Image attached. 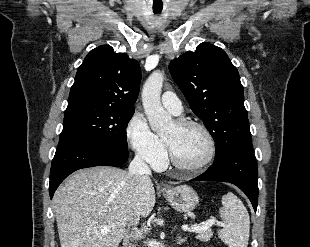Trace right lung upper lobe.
I'll use <instances>...</instances> for the list:
<instances>
[{"mask_svg":"<svg viewBox=\"0 0 310 247\" xmlns=\"http://www.w3.org/2000/svg\"><path fill=\"white\" fill-rule=\"evenodd\" d=\"M141 80L138 62L109 45L91 50L78 68L68 109L111 108L134 111Z\"/></svg>","mask_w":310,"mask_h":247,"instance_id":"1","label":"right lung upper lobe"}]
</instances>
